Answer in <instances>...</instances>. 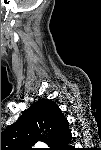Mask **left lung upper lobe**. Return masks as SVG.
Instances as JSON below:
<instances>
[{"instance_id":"5c2ea615","label":"left lung upper lobe","mask_w":101,"mask_h":150,"mask_svg":"<svg viewBox=\"0 0 101 150\" xmlns=\"http://www.w3.org/2000/svg\"><path fill=\"white\" fill-rule=\"evenodd\" d=\"M58 106L46 99L33 103L23 113L19 120L10 125L1 135V142L5 147L19 148L34 144L39 138V128L46 129L55 138H62L68 130Z\"/></svg>"}]
</instances>
